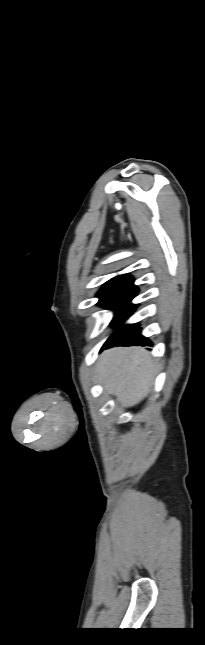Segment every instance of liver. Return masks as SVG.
Instances as JSON below:
<instances>
[{"instance_id": "liver-1", "label": "liver", "mask_w": 205, "mask_h": 645, "mask_svg": "<svg viewBox=\"0 0 205 645\" xmlns=\"http://www.w3.org/2000/svg\"><path fill=\"white\" fill-rule=\"evenodd\" d=\"M156 364L142 347H116L102 353L95 378L123 405L132 407L152 389Z\"/></svg>"}]
</instances>
